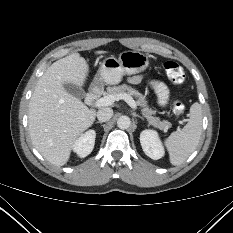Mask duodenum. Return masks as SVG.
Returning a JSON list of instances; mask_svg holds the SVG:
<instances>
[{
    "instance_id": "410a0bca",
    "label": "duodenum",
    "mask_w": 233,
    "mask_h": 233,
    "mask_svg": "<svg viewBox=\"0 0 233 233\" xmlns=\"http://www.w3.org/2000/svg\"><path fill=\"white\" fill-rule=\"evenodd\" d=\"M99 89L97 86H92L89 90L88 94L86 95L85 102L87 105H93L96 98L98 97Z\"/></svg>"
}]
</instances>
